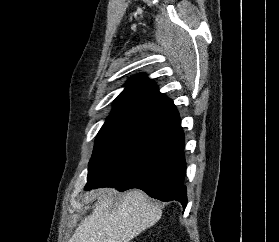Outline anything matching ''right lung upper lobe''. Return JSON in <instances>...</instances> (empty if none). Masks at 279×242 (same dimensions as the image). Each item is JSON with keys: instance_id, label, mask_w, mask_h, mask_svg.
I'll list each match as a JSON object with an SVG mask.
<instances>
[{"instance_id": "1", "label": "right lung upper lobe", "mask_w": 279, "mask_h": 242, "mask_svg": "<svg viewBox=\"0 0 279 242\" xmlns=\"http://www.w3.org/2000/svg\"><path fill=\"white\" fill-rule=\"evenodd\" d=\"M175 110L171 99L160 93L144 74H138L130 78L127 87L115 99L112 114L144 113L162 117Z\"/></svg>"}]
</instances>
